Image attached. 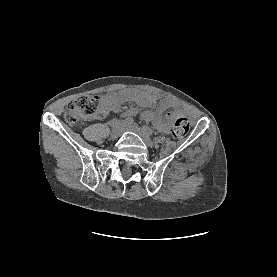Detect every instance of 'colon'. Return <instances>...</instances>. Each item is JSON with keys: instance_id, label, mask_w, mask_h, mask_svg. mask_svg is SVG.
Returning a JSON list of instances; mask_svg holds the SVG:
<instances>
[{"instance_id": "obj_1", "label": "colon", "mask_w": 277, "mask_h": 277, "mask_svg": "<svg viewBox=\"0 0 277 277\" xmlns=\"http://www.w3.org/2000/svg\"><path fill=\"white\" fill-rule=\"evenodd\" d=\"M102 111L98 98L85 95L77 98L68 105L65 118L70 123L80 120H91L100 117ZM189 131V123L185 118H179L174 123L172 135L175 138H183Z\"/></svg>"}]
</instances>
